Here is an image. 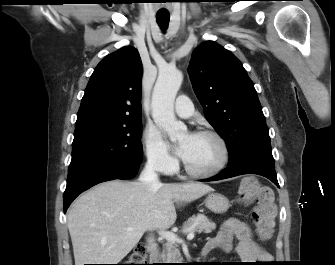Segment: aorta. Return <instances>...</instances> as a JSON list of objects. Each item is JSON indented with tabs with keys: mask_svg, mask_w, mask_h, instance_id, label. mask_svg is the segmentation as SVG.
Returning <instances> with one entry per match:
<instances>
[{
	"mask_svg": "<svg viewBox=\"0 0 335 265\" xmlns=\"http://www.w3.org/2000/svg\"><path fill=\"white\" fill-rule=\"evenodd\" d=\"M183 80L182 73L166 67L159 71L152 94V117L157 126L164 129L171 141L183 137L186 126L176 120L174 101Z\"/></svg>",
	"mask_w": 335,
	"mask_h": 265,
	"instance_id": "obj_1",
	"label": "aorta"
}]
</instances>
